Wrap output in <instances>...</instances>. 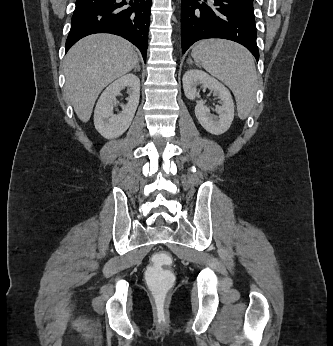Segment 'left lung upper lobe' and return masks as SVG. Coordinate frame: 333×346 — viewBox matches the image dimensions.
I'll list each match as a JSON object with an SVG mask.
<instances>
[{"instance_id": "5c2ea615", "label": "left lung upper lobe", "mask_w": 333, "mask_h": 346, "mask_svg": "<svg viewBox=\"0 0 333 346\" xmlns=\"http://www.w3.org/2000/svg\"><path fill=\"white\" fill-rule=\"evenodd\" d=\"M248 3L253 4V0H246Z\"/></svg>"}]
</instances>
